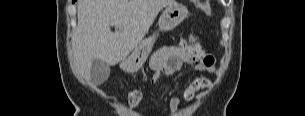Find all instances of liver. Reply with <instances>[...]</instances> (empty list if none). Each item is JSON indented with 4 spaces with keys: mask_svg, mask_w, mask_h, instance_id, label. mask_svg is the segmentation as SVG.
I'll return each mask as SVG.
<instances>
[{
    "mask_svg": "<svg viewBox=\"0 0 305 116\" xmlns=\"http://www.w3.org/2000/svg\"><path fill=\"white\" fill-rule=\"evenodd\" d=\"M175 0H79L72 37L76 73L91 80V65L100 59L116 65L143 40L158 13ZM115 26V32L110 25Z\"/></svg>",
    "mask_w": 305,
    "mask_h": 116,
    "instance_id": "6515ba94",
    "label": "liver"
}]
</instances>
